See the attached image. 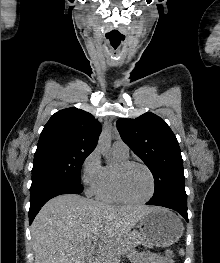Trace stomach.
<instances>
[{"label":"stomach","mask_w":220,"mask_h":263,"mask_svg":"<svg viewBox=\"0 0 220 263\" xmlns=\"http://www.w3.org/2000/svg\"><path fill=\"white\" fill-rule=\"evenodd\" d=\"M140 236L147 246H170L177 242L183 234V223L171 211L155 207L140 220Z\"/></svg>","instance_id":"0dacf381"}]
</instances>
